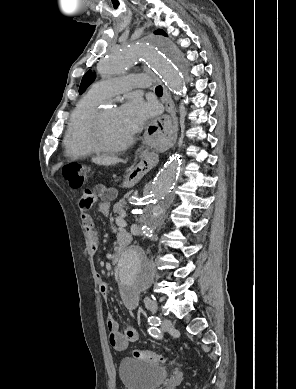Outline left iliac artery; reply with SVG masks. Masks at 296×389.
<instances>
[{
	"label": "left iliac artery",
	"instance_id": "obj_1",
	"mask_svg": "<svg viewBox=\"0 0 296 389\" xmlns=\"http://www.w3.org/2000/svg\"><path fill=\"white\" fill-rule=\"evenodd\" d=\"M148 322L151 325V328L149 329V334H151L154 337H158L159 330L156 327L161 324L160 318L156 316H150L148 318Z\"/></svg>",
	"mask_w": 296,
	"mask_h": 389
}]
</instances>
